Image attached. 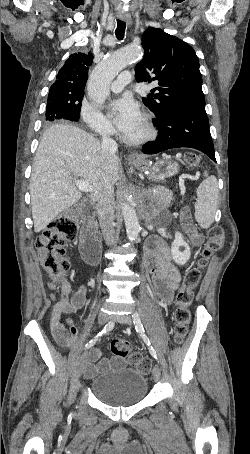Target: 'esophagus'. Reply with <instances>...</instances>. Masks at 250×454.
I'll return each mask as SVG.
<instances>
[{
  "label": "esophagus",
  "mask_w": 250,
  "mask_h": 454,
  "mask_svg": "<svg viewBox=\"0 0 250 454\" xmlns=\"http://www.w3.org/2000/svg\"><path fill=\"white\" fill-rule=\"evenodd\" d=\"M120 19L123 20V21H126L127 23H131V17L130 15H120ZM129 158L131 160H136V159H140V154L138 152H132L130 155H129Z\"/></svg>",
  "instance_id": "34e87169"
}]
</instances>
